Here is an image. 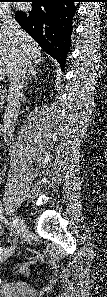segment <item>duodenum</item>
<instances>
[{
    "mask_svg": "<svg viewBox=\"0 0 107 297\" xmlns=\"http://www.w3.org/2000/svg\"><path fill=\"white\" fill-rule=\"evenodd\" d=\"M0 128H1V129H0V132H1V131H2V128H3V125H2L1 123H0Z\"/></svg>",
    "mask_w": 107,
    "mask_h": 297,
    "instance_id": "obj_1",
    "label": "duodenum"
}]
</instances>
